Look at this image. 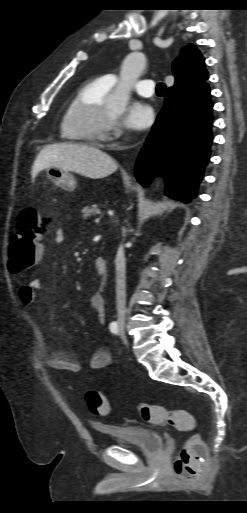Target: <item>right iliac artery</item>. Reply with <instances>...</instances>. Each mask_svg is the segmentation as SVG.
<instances>
[{
    "label": "right iliac artery",
    "mask_w": 247,
    "mask_h": 513,
    "mask_svg": "<svg viewBox=\"0 0 247 513\" xmlns=\"http://www.w3.org/2000/svg\"><path fill=\"white\" fill-rule=\"evenodd\" d=\"M109 329H110V331H111L113 334H116V335H117V334H118V332H119L117 322H115V321L111 322V323H110V325H109Z\"/></svg>",
    "instance_id": "obj_1"
}]
</instances>
